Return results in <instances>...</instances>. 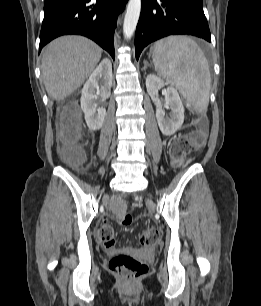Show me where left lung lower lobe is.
<instances>
[{
  "mask_svg": "<svg viewBox=\"0 0 261 306\" xmlns=\"http://www.w3.org/2000/svg\"><path fill=\"white\" fill-rule=\"evenodd\" d=\"M178 34L193 35L211 42L202 0H142L135 34L137 60L149 43Z\"/></svg>",
  "mask_w": 261,
  "mask_h": 306,
  "instance_id": "left-lung-lower-lobe-1",
  "label": "left lung lower lobe"
}]
</instances>
